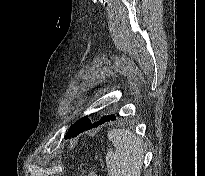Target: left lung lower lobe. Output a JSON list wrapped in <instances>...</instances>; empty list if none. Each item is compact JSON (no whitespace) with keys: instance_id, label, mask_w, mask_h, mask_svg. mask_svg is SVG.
Instances as JSON below:
<instances>
[{"instance_id":"1","label":"left lung lower lobe","mask_w":205,"mask_h":176,"mask_svg":"<svg viewBox=\"0 0 205 176\" xmlns=\"http://www.w3.org/2000/svg\"><path fill=\"white\" fill-rule=\"evenodd\" d=\"M114 119H115L114 115L104 116L98 122L92 124L88 116L83 117L79 119L78 121H76L73 125H71V127L69 128L68 132L65 135V139L76 137L81 132L95 128L105 122H108Z\"/></svg>"}]
</instances>
